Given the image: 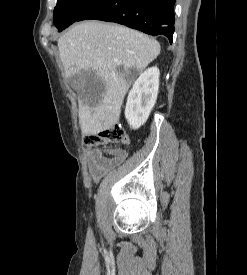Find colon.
<instances>
[{"label": "colon", "instance_id": "5ec220e1", "mask_svg": "<svg viewBox=\"0 0 247 275\" xmlns=\"http://www.w3.org/2000/svg\"><path fill=\"white\" fill-rule=\"evenodd\" d=\"M127 135L121 126H113L97 134H87L83 138V145L86 148L97 147L101 145L125 144Z\"/></svg>", "mask_w": 247, "mask_h": 275}]
</instances>
